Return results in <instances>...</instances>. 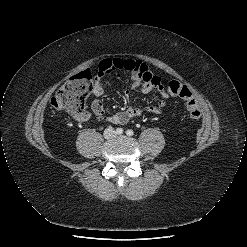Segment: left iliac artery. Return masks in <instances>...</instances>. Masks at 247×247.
Here are the masks:
<instances>
[{"instance_id": "obj_1", "label": "left iliac artery", "mask_w": 247, "mask_h": 247, "mask_svg": "<svg viewBox=\"0 0 247 247\" xmlns=\"http://www.w3.org/2000/svg\"><path fill=\"white\" fill-rule=\"evenodd\" d=\"M126 134H127L128 136H133V135H134V131L131 130V129H128V130L126 131Z\"/></svg>"}]
</instances>
